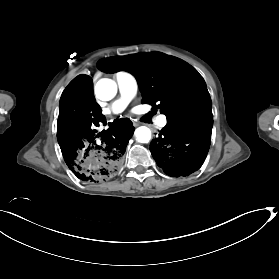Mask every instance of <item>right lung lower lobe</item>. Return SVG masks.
Masks as SVG:
<instances>
[{
    "instance_id": "98d812e1",
    "label": "right lung lower lobe",
    "mask_w": 279,
    "mask_h": 279,
    "mask_svg": "<svg viewBox=\"0 0 279 279\" xmlns=\"http://www.w3.org/2000/svg\"><path fill=\"white\" fill-rule=\"evenodd\" d=\"M57 138L69 169L88 183L114 178L122 166L129 139L135 128L128 118L116 119L100 133L94 129L106 124L95 102L93 83L79 75L65 88L60 99Z\"/></svg>"
}]
</instances>
